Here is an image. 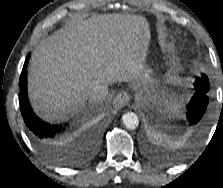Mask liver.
<instances>
[{
  "instance_id": "obj_1",
  "label": "liver",
  "mask_w": 223,
  "mask_h": 188,
  "mask_svg": "<svg viewBox=\"0 0 223 188\" xmlns=\"http://www.w3.org/2000/svg\"><path fill=\"white\" fill-rule=\"evenodd\" d=\"M145 17L104 14L77 20L36 47L29 66L28 88L36 112L62 120L86 103L97 80L139 82L146 75L139 38Z\"/></svg>"
}]
</instances>
